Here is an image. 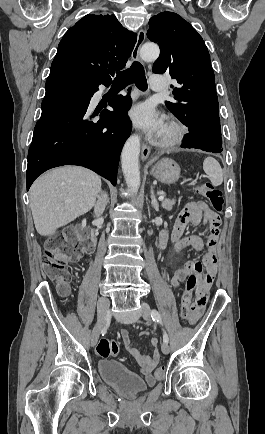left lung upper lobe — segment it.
Segmentation results:
<instances>
[{
  "mask_svg": "<svg viewBox=\"0 0 265 434\" xmlns=\"http://www.w3.org/2000/svg\"><path fill=\"white\" fill-rule=\"evenodd\" d=\"M147 37L160 46L153 72L177 81L174 102L167 108L189 130L221 134L215 76L208 49L197 31L181 16L164 11L149 20Z\"/></svg>",
  "mask_w": 265,
  "mask_h": 434,
  "instance_id": "obj_1",
  "label": "left lung upper lobe"
}]
</instances>
